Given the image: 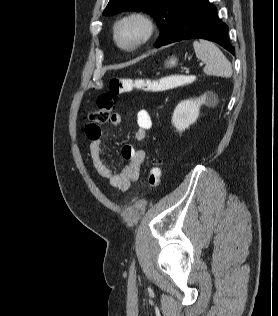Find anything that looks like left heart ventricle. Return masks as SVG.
<instances>
[{
  "label": "left heart ventricle",
  "instance_id": "left-heart-ventricle-1",
  "mask_svg": "<svg viewBox=\"0 0 278 316\" xmlns=\"http://www.w3.org/2000/svg\"><path fill=\"white\" fill-rule=\"evenodd\" d=\"M140 35V27L136 24H127L120 28L119 37L125 44H130L135 41Z\"/></svg>",
  "mask_w": 278,
  "mask_h": 316
}]
</instances>
